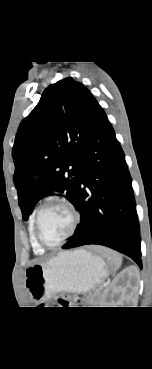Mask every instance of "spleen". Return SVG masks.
Returning a JSON list of instances; mask_svg holds the SVG:
<instances>
[{
  "mask_svg": "<svg viewBox=\"0 0 152 369\" xmlns=\"http://www.w3.org/2000/svg\"><path fill=\"white\" fill-rule=\"evenodd\" d=\"M103 254L107 256L112 268L118 269L120 267L122 262V256L119 253L111 250H105L103 251Z\"/></svg>",
  "mask_w": 152,
  "mask_h": 369,
  "instance_id": "spleen-1",
  "label": "spleen"
}]
</instances>
